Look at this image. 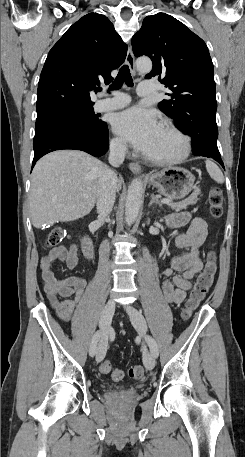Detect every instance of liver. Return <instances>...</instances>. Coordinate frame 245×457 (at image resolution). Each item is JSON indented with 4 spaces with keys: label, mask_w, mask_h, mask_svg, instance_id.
Masks as SVG:
<instances>
[{
    "label": "liver",
    "mask_w": 245,
    "mask_h": 457,
    "mask_svg": "<svg viewBox=\"0 0 245 457\" xmlns=\"http://www.w3.org/2000/svg\"><path fill=\"white\" fill-rule=\"evenodd\" d=\"M104 162L82 150H54L36 162L31 174L29 208L32 224L76 220L92 210ZM117 190L121 182L116 184Z\"/></svg>",
    "instance_id": "1"
}]
</instances>
